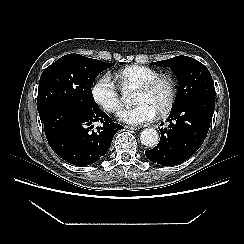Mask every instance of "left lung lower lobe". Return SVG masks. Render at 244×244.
Wrapping results in <instances>:
<instances>
[{"label":"left lung lower lobe","mask_w":244,"mask_h":244,"mask_svg":"<svg viewBox=\"0 0 244 244\" xmlns=\"http://www.w3.org/2000/svg\"><path fill=\"white\" fill-rule=\"evenodd\" d=\"M215 109V96L195 97L172 108L169 128L160 129L157 146L145 151L157 164L174 166L190 158L204 142Z\"/></svg>","instance_id":"1"}]
</instances>
